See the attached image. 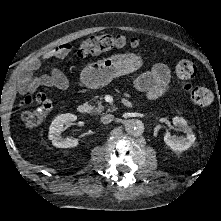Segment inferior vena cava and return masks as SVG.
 <instances>
[{
    "label": "inferior vena cava",
    "mask_w": 221,
    "mask_h": 221,
    "mask_svg": "<svg viewBox=\"0 0 221 221\" xmlns=\"http://www.w3.org/2000/svg\"><path fill=\"white\" fill-rule=\"evenodd\" d=\"M114 120V116L112 114H106L100 118V121L103 124H109Z\"/></svg>",
    "instance_id": "obj_1"
}]
</instances>
